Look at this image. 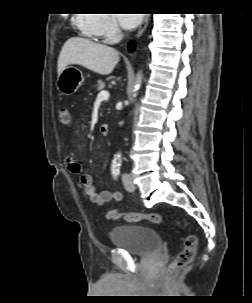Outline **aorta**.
<instances>
[{
    "label": "aorta",
    "instance_id": "1",
    "mask_svg": "<svg viewBox=\"0 0 252 303\" xmlns=\"http://www.w3.org/2000/svg\"><path fill=\"white\" fill-rule=\"evenodd\" d=\"M141 80H142V73L141 71L138 72L137 76H136V80H135V90L139 89V86L141 84ZM121 163V155L118 154L114 157L113 159V164H120Z\"/></svg>",
    "mask_w": 252,
    "mask_h": 303
}]
</instances>
